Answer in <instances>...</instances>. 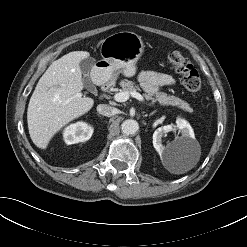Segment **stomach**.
I'll return each instance as SVG.
<instances>
[{
  "label": "stomach",
  "instance_id": "1",
  "mask_svg": "<svg viewBox=\"0 0 247 247\" xmlns=\"http://www.w3.org/2000/svg\"><path fill=\"white\" fill-rule=\"evenodd\" d=\"M144 47L141 36L134 32L122 31L108 36L101 43L102 59L96 62L93 74L103 81L119 73L126 77L133 76Z\"/></svg>",
  "mask_w": 247,
  "mask_h": 247
}]
</instances>
